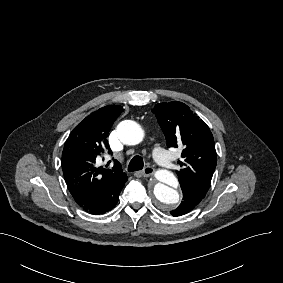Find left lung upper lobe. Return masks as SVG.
I'll list each match as a JSON object with an SVG mask.
<instances>
[{"label":"left lung upper lobe","instance_id":"obj_1","mask_svg":"<svg viewBox=\"0 0 283 283\" xmlns=\"http://www.w3.org/2000/svg\"><path fill=\"white\" fill-rule=\"evenodd\" d=\"M165 135L168 147H183L176 171L180 184L193 183L209 189L217 163L214 139L204 121L182 102L159 103L152 110Z\"/></svg>","mask_w":283,"mask_h":283}]
</instances>
